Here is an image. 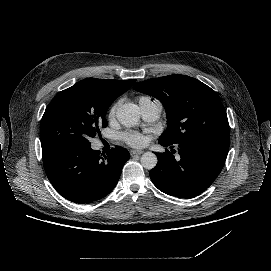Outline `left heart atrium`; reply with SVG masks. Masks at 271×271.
<instances>
[{
	"mask_svg": "<svg viewBox=\"0 0 271 271\" xmlns=\"http://www.w3.org/2000/svg\"><path fill=\"white\" fill-rule=\"evenodd\" d=\"M120 138L131 147H143L147 143V137L137 131H127L120 135Z\"/></svg>",
	"mask_w": 271,
	"mask_h": 271,
	"instance_id": "obj_1",
	"label": "left heart atrium"
}]
</instances>
